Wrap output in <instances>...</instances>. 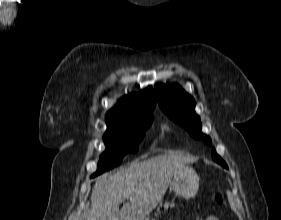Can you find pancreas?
<instances>
[{"instance_id": "obj_1", "label": "pancreas", "mask_w": 281, "mask_h": 220, "mask_svg": "<svg viewBox=\"0 0 281 220\" xmlns=\"http://www.w3.org/2000/svg\"><path fill=\"white\" fill-rule=\"evenodd\" d=\"M161 206H162V204H161ZM163 206H164L165 208L174 207V203H172V204L165 203ZM158 212H159V210H158ZM153 220H155V219H153Z\"/></svg>"}]
</instances>
